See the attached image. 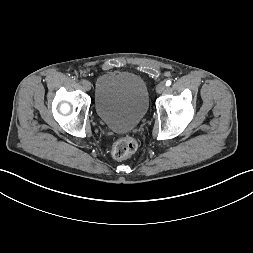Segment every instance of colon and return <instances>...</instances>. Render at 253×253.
<instances>
[{
    "instance_id": "1",
    "label": "colon",
    "mask_w": 253,
    "mask_h": 253,
    "mask_svg": "<svg viewBox=\"0 0 253 253\" xmlns=\"http://www.w3.org/2000/svg\"><path fill=\"white\" fill-rule=\"evenodd\" d=\"M138 147L137 141L132 137L121 138L115 142L111 149V156L116 160H122L133 154Z\"/></svg>"
}]
</instances>
